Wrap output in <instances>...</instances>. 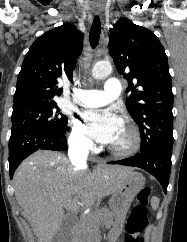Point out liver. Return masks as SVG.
I'll return each instance as SVG.
<instances>
[{"label": "liver", "instance_id": "6515ba94", "mask_svg": "<svg viewBox=\"0 0 187 242\" xmlns=\"http://www.w3.org/2000/svg\"><path fill=\"white\" fill-rule=\"evenodd\" d=\"M131 167L98 165L72 167L57 152L39 150L25 159L13 178L19 206L34 226L37 242H52L65 217L116 193Z\"/></svg>", "mask_w": 187, "mask_h": 242}]
</instances>
